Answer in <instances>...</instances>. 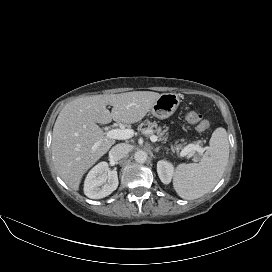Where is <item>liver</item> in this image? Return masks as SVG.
<instances>
[{
    "instance_id": "liver-1",
    "label": "liver",
    "mask_w": 272,
    "mask_h": 272,
    "mask_svg": "<svg viewBox=\"0 0 272 272\" xmlns=\"http://www.w3.org/2000/svg\"><path fill=\"white\" fill-rule=\"evenodd\" d=\"M159 97L156 92L133 91L87 96L67 103L54 124L51 146L54 166L62 180L77 191L86 171L114 145L115 140L106 138L97 123L139 122ZM107 105L113 106L111 112Z\"/></svg>"
}]
</instances>
